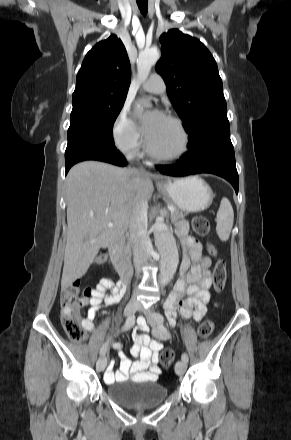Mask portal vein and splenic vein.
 <instances>
[{"mask_svg":"<svg viewBox=\"0 0 291 440\" xmlns=\"http://www.w3.org/2000/svg\"><path fill=\"white\" fill-rule=\"evenodd\" d=\"M168 209L171 213H173L175 211L174 207H172V206H168ZM108 227H110V228L113 227V223H109Z\"/></svg>","mask_w":291,"mask_h":440,"instance_id":"obj_1","label":"portal vein and splenic vein"}]
</instances>
